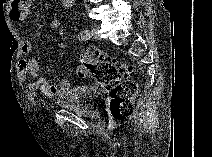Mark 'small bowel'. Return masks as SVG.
Masks as SVG:
<instances>
[{"instance_id":"small-bowel-1","label":"small bowel","mask_w":212,"mask_h":157,"mask_svg":"<svg viewBox=\"0 0 212 157\" xmlns=\"http://www.w3.org/2000/svg\"><path fill=\"white\" fill-rule=\"evenodd\" d=\"M63 5L66 8L71 7V0H64ZM32 0H13L8 5V17L11 21L18 22L24 20L30 14ZM60 26L59 20L51 23V29L56 30ZM35 51V44L32 40H26L22 45L24 55L31 54ZM19 71L23 81L32 78L35 81L29 84L30 89H39L47 97L62 96L71 88L70 80L62 79L57 83L50 82L46 78L40 77L41 66L36 58H23L19 62Z\"/></svg>"}]
</instances>
